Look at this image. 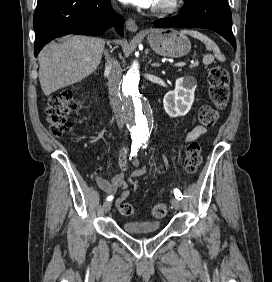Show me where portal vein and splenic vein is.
<instances>
[{
  "mask_svg": "<svg viewBox=\"0 0 272 282\" xmlns=\"http://www.w3.org/2000/svg\"><path fill=\"white\" fill-rule=\"evenodd\" d=\"M185 65H186L185 62H180V63L174 64L173 66H174V67H183V66H185Z\"/></svg>",
  "mask_w": 272,
  "mask_h": 282,
  "instance_id": "18ae733b",
  "label": "portal vein and splenic vein"
}]
</instances>
